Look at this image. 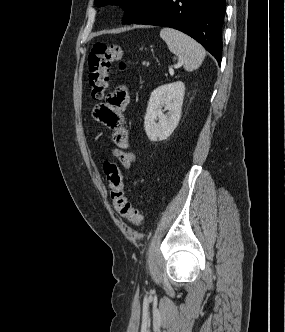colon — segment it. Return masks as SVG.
<instances>
[{"label":"colon","instance_id":"5ec220e1","mask_svg":"<svg viewBox=\"0 0 285 332\" xmlns=\"http://www.w3.org/2000/svg\"><path fill=\"white\" fill-rule=\"evenodd\" d=\"M123 49L119 45L95 43L88 55L89 89L95 101L104 98L110 79L111 66L116 63L121 70L126 68L123 59ZM104 172L109 182L110 195L118 213L128 219L134 226L142 222V214L128 201L125 191L123 175L118 164L112 160L104 162Z\"/></svg>","mask_w":285,"mask_h":332}]
</instances>
